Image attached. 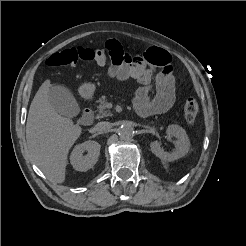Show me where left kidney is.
I'll list each match as a JSON object with an SVG mask.
<instances>
[{
    "mask_svg": "<svg viewBox=\"0 0 246 246\" xmlns=\"http://www.w3.org/2000/svg\"><path fill=\"white\" fill-rule=\"evenodd\" d=\"M166 134L168 137H175V151L172 153L164 151L159 141L150 143L151 152L163 161H174L184 157L190 148V141L185 130L179 125H169Z\"/></svg>",
    "mask_w": 246,
    "mask_h": 246,
    "instance_id": "obj_1",
    "label": "left kidney"
}]
</instances>
